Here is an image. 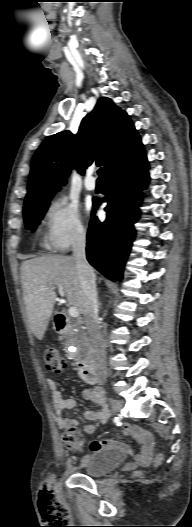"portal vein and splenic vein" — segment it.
Segmentation results:
<instances>
[{
	"label": "portal vein and splenic vein",
	"instance_id": "portal-vein-and-splenic-vein-1",
	"mask_svg": "<svg viewBox=\"0 0 192 527\" xmlns=\"http://www.w3.org/2000/svg\"><path fill=\"white\" fill-rule=\"evenodd\" d=\"M58 289H59V294L64 297L65 296V293L63 291V287L61 285H58ZM68 314L70 317L72 318H77L79 316V311L77 308L75 307H70L69 310H68Z\"/></svg>",
	"mask_w": 192,
	"mask_h": 527
}]
</instances>
